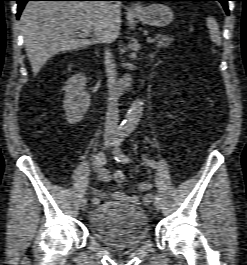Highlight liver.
Returning a JSON list of instances; mask_svg holds the SVG:
<instances>
[{
    "mask_svg": "<svg viewBox=\"0 0 247 265\" xmlns=\"http://www.w3.org/2000/svg\"><path fill=\"white\" fill-rule=\"evenodd\" d=\"M33 75L54 55L110 43L119 36L120 3L30 1L20 17ZM93 32L94 39L86 35Z\"/></svg>",
    "mask_w": 247,
    "mask_h": 265,
    "instance_id": "liver-1",
    "label": "liver"
}]
</instances>
